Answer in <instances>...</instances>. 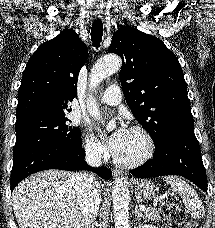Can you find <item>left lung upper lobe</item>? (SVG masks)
I'll list each match as a JSON object with an SVG mask.
<instances>
[{"label":"left lung upper lobe","instance_id":"5c2ea615","mask_svg":"<svg viewBox=\"0 0 215 228\" xmlns=\"http://www.w3.org/2000/svg\"><path fill=\"white\" fill-rule=\"evenodd\" d=\"M108 52L122 58L119 78L126 102L155 145L172 132L193 128L183 71L160 39L123 26Z\"/></svg>","mask_w":215,"mask_h":228}]
</instances>
